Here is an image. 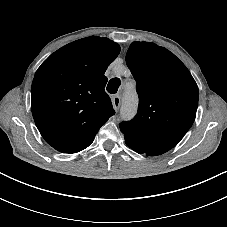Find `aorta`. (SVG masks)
<instances>
[{
    "instance_id": "aorta-1",
    "label": "aorta",
    "mask_w": 227,
    "mask_h": 227,
    "mask_svg": "<svg viewBox=\"0 0 227 227\" xmlns=\"http://www.w3.org/2000/svg\"><path fill=\"white\" fill-rule=\"evenodd\" d=\"M137 96L135 92H128L124 97V105L121 109L123 118H132L136 112Z\"/></svg>"
}]
</instances>
